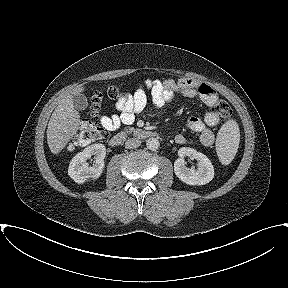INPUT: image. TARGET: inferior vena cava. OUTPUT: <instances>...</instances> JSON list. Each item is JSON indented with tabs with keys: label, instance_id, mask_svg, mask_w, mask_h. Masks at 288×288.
Instances as JSON below:
<instances>
[{
	"label": "inferior vena cava",
	"instance_id": "inferior-vena-cava-1",
	"mask_svg": "<svg viewBox=\"0 0 288 288\" xmlns=\"http://www.w3.org/2000/svg\"><path fill=\"white\" fill-rule=\"evenodd\" d=\"M141 145V141L137 138H130L125 142L126 149H134Z\"/></svg>",
	"mask_w": 288,
	"mask_h": 288
}]
</instances>
